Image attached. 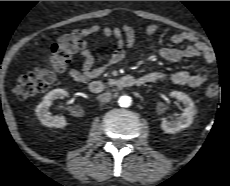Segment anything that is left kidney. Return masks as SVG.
I'll list each match as a JSON object with an SVG mask.
<instances>
[{
	"mask_svg": "<svg viewBox=\"0 0 230 186\" xmlns=\"http://www.w3.org/2000/svg\"><path fill=\"white\" fill-rule=\"evenodd\" d=\"M170 96L181 101L185 108L179 118L172 121L164 119L161 123V128L166 133H176L181 129L189 127L193 123L196 109L192 99L185 93L180 91H173L170 93Z\"/></svg>",
	"mask_w": 230,
	"mask_h": 186,
	"instance_id": "left-kidney-1",
	"label": "left kidney"
}]
</instances>
